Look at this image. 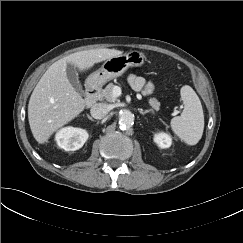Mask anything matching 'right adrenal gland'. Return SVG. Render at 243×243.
<instances>
[{"label": "right adrenal gland", "instance_id": "right-adrenal-gland-1", "mask_svg": "<svg viewBox=\"0 0 243 243\" xmlns=\"http://www.w3.org/2000/svg\"><path fill=\"white\" fill-rule=\"evenodd\" d=\"M88 119H90L91 121H94V119L90 116V115H87Z\"/></svg>", "mask_w": 243, "mask_h": 243}]
</instances>
